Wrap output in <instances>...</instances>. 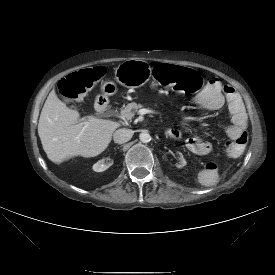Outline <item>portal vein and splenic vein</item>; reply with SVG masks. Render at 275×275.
<instances>
[{"instance_id":"obj_1","label":"portal vein and splenic vein","mask_w":275,"mask_h":275,"mask_svg":"<svg viewBox=\"0 0 275 275\" xmlns=\"http://www.w3.org/2000/svg\"><path fill=\"white\" fill-rule=\"evenodd\" d=\"M149 111L147 110V109H140L139 110V114L140 115H144V114H146V113H148Z\"/></svg>"}]
</instances>
